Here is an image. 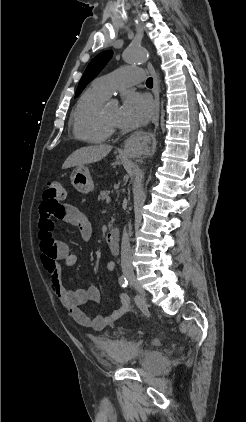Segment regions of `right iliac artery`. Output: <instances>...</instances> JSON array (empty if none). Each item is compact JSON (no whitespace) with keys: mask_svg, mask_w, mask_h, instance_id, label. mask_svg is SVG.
I'll list each match as a JSON object with an SVG mask.
<instances>
[{"mask_svg":"<svg viewBox=\"0 0 246 422\" xmlns=\"http://www.w3.org/2000/svg\"><path fill=\"white\" fill-rule=\"evenodd\" d=\"M119 284H120L122 287H127V285H128V281H127V279H126V277H125V276H121V277L119 278Z\"/></svg>","mask_w":246,"mask_h":422,"instance_id":"obj_1","label":"right iliac artery"}]
</instances>
